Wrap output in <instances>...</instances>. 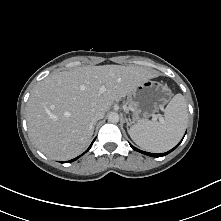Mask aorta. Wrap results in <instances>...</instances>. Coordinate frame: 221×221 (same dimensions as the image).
Masks as SVG:
<instances>
[{
    "mask_svg": "<svg viewBox=\"0 0 221 221\" xmlns=\"http://www.w3.org/2000/svg\"><path fill=\"white\" fill-rule=\"evenodd\" d=\"M108 121L111 123L119 122V115L115 112L110 113L108 116Z\"/></svg>",
    "mask_w": 221,
    "mask_h": 221,
    "instance_id": "obj_1",
    "label": "aorta"
}]
</instances>
